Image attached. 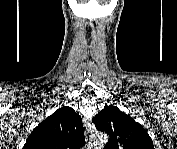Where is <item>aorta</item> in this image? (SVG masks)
Segmentation results:
<instances>
[{
	"label": "aorta",
	"mask_w": 177,
	"mask_h": 149,
	"mask_svg": "<svg viewBox=\"0 0 177 149\" xmlns=\"http://www.w3.org/2000/svg\"><path fill=\"white\" fill-rule=\"evenodd\" d=\"M107 141V136L105 134H100L97 136L98 143H105Z\"/></svg>",
	"instance_id": "aorta-1"
}]
</instances>
